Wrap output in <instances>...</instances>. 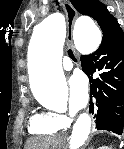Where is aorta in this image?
Here are the masks:
<instances>
[{"instance_id": "obj_1", "label": "aorta", "mask_w": 124, "mask_h": 149, "mask_svg": "<svg viewBox=\"0 0 124 149\" xmlns=\"http://www.w3.org/2000/svg\"><path fill=\"white\" fill-rule=\"evenodd\" d=\"M65 18L53 13L37 24L28 48L30 86L36 100L44 106H52L66 99L67 84L62 69ZM73 39L77 50L83 54L95 51L102 40L100 29L86 16L74 24ZM91 130V118L81 114L73 126L71 149H78L86 141Z\"/></svg>"}]
</instances>
